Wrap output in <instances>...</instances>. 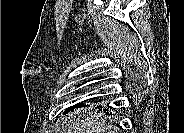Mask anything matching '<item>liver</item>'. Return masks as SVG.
Instances as JSON below:
<instances>
[{"mask_svg":"<svg viewBox=\"0 0 184 133\" xmlns=\"http://www.w3.org/2000/svg\"><path fill=\"white\" fill-rule=\"evenodd\" d=\"M60 133H112L99 114L89 110L74 111L61 118Z\"/></svg>","mask_w":184,"mask_h":133,"instance_id":"obj_1","label":"liver"}]
</instances>
